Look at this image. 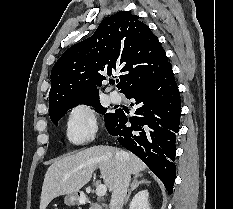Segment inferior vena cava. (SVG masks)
I'll return each instance as SVG.
<instances>
[{
    "label": "inferior vena cava",
    "mask_w": 233,
    "mask_h": 209,
    "mask_svg": "<svg viewBox=\"0 0 233 209\" xmlns=\"http://www.w3.org/2000/svg\"><path fill=\"white\" fill-rule=\"evenodd\" d=\"M118 160L117 174L114 181L110 209H122L130 184L131 173L121 153L116 154Z\"/></svg>",
    "instance_id": "inferior-vena-cava-1"
}]
</instances>
